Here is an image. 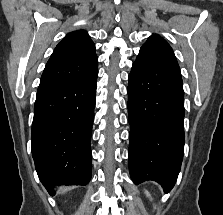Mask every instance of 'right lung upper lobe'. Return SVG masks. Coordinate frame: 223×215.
I'll list each match as a JSON object with an SVG mask.
<instances>
[{
    "label": "right lung upper lobe",
    "instance_id": "right-lung-upper-lobe-1",
    "mask_svg": "<svg viewBox=\"0 0 223 215\" xmlns=\"http://www.w3.org/2000/svg\"><path fill=\"white\" fill-rule=\"evenodd\" d=\"M98 67L95 45L85 30L67 34L56 46L41 76L38 91L80 80Z\"/></svg>",
    "mask_w": 223,
    "mask_h": 215
}]
</instances>
